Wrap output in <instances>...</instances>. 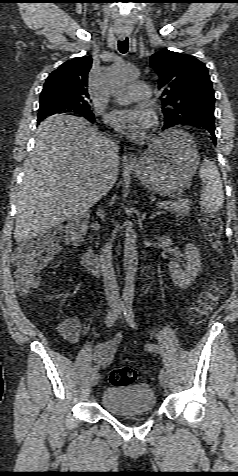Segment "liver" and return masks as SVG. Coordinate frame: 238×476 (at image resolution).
I'll use <instances>...</instances> for the list:
<instances>
[{
  "label": "liver",
  "instance_id": "liver-1",
  "mask_svg": "<svg viewBox=\"0 0 238 476\" xmlns=\"http://www.w3.org/2000/svg\"><path fill=\"white\" fill-rule=\"evenodd\" d=\"M102 140L82 117L54 115L40 123L17 195L18 243L83 215L113 187L119 162L106 160Z\"/></svg>",
  "mask_w": 238,
  "mask_h": 476
}]
</instances>
